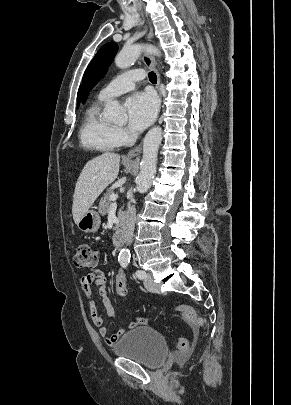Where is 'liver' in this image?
<instances>
[{
	"mask_svg": "<svg viewBox=\"0 0 291 405\" xmlns=\"http://www.w3.org/2000/svg\"><path fill=\"white\" fill-rule=\"evenodd\" d=\"M120 155L105 152L86 163L75 186L72 214L77 224L98 196L118 176Z\"/></svg>",
	"mask_w": 291,
	"mask_h": 405,
	"instance_id": "1",
	"label": "liver"
}]
</instances>
